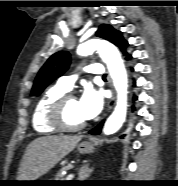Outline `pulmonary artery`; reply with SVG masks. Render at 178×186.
I'll use <instances>...</instances> for the list:
<instances>
[{"label": "pulmonary artery", "instance_id": "pulmonary-artery-1", "mask_svg": "<svg viewBox=\"0 0 178 186\" xmlns=\"http://www.w3.org/2000/svg\"><path fill=\"white\" fill-rule=\"evenodd\" d=\"M83 70L86 73L94 74L96 76L102 75L104 73V68L100 64H89L86 65ZM76 80V76H64L59 79V85L65 90H70Z\"/></svg>", "mask_w": 178, "mask_h": 186}]
</instances>
